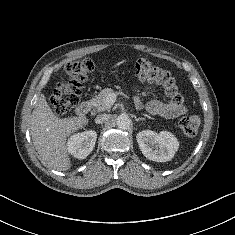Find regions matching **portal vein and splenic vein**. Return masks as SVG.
<instances>
[{
  "mask_svg": "<svg viewBox=\"0 0 235 235\" xmlns=\"http://www.w3.org/2000/svg\"><path fill=\"white\" fill-rule=\"evenodd\" d=\"M116 98H117V95L115 93H112L107 97L106 101L110 106H112L115 103Z\"/></svg>",
  "mask_w": 235,
  "mask_h": 235,
  "instance_id": "obj_1",
  "label": "portal vein and splenic vein"
}]
</instances>
